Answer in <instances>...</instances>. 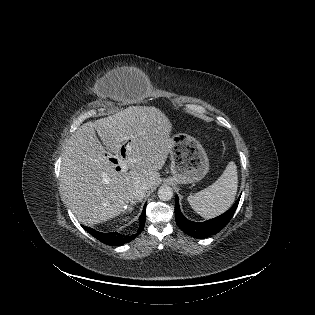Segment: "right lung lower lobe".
<instances>
[{"instance_id":"1","label":"right lung lower lobe","mask_w":315,"mask_h":315,"mask_svg":"<svg viewBox=\"0 0 315 315\" xmlns=\"http://www.w3.org/2000/svg\"><path fill=\"white\" fill-rule=\"evenodd\" d=\"M145 220H146V205L143 208L142 214L139 217V221H140V227L138 232L135 235L132 236H122L121 234L117 233V232H111V233H101L98 231H95L94 229H91L89 227L86 226H82L89 234H91L92 236H94L96 239H98L99 241H101L104 244L110 245V246H120L123 245L125 243L130 242L131 240H133L137 235H139L141 233V231L144 228V224H145Z\"/></svg>"}]
</instances>
